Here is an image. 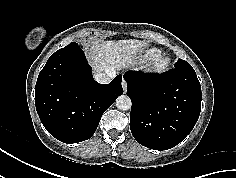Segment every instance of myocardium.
<instances>
[{
	"label": "myocardium",
	"mask_w": 236,
	"mask_h": 178,
	"mask_svg": "<svg viewBox=\"0 0 236 178\" xmlns=\"http://www.w3.org/2000/svg\"><path fill=\"white\" fill-rule=\"evenodd\" d=\"M169 66V58L165 55H159L153 58L146 66L145 69L154 74L163 73Z\"/></svg>",
	"instance_id": "1"
}]
</instances>
